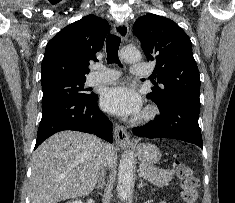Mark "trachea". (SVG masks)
<instances>
[{
  "instance_id": "3493384b",
  "label": "trachea",
  "mask_w": 235,
  "mask_h": 203,
  "mask_svg": "<svg viewBox=\"0 0 235 203\" xmlns=\"http://www.w3.org/2000/svg\"><path fill=\"white\" fill-rule=\"evenodd\" d=\"M121 38L116 35H109L106 38V51H107V61L108 63H121L118 58V49L120 46Z\"/></svg>"
}]
</instances>
